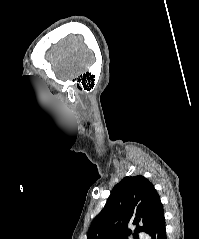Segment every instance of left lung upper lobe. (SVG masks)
Masks as SVG:
<instances>
[{"label":"left lung upper lobe","mask_w":199,"mask_h":239,"mask_svg":"<svg viewBox=\"0 0 199 239\" xmlns=\"http://www.w3.org/2000/svg\"><path fill=\"white\" fill-rule=\"evenodd\" d=\"M162 210L160 197L149 180L141 175L124 177L94 218L87 239H128V224L136 225L134 239H138V232L147 233Z\"/></svg>","instance_id":"left-lung-upper-lobe-1"}]
</instances>
